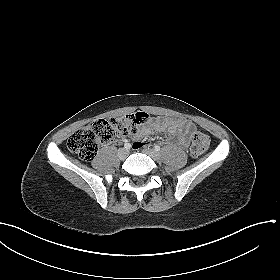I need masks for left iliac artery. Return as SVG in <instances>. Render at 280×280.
<instances>
[{"label":"left iliac artery","instance_id":"left-iliac-artery-1","mask_svg":"<svg viewBox=\"0 0 280 280\" xmlns=\"http://www.w3.org/2000/svg\"><path fill=\"white\" fill-rule=\"evenodd\" d=\"M154 149H155V151H160V146L156 145V146L154 147Z\"/></svg>","mask_w":280,"mask_h":280}]
</instances>
